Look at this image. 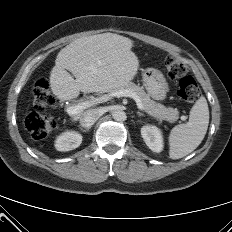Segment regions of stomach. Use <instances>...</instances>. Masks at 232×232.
Masks as SVG:
<instances>
[{"label":"stomach","instance_id":"stomach-1","mask_svg":"<svg viewBox=\"0 0 232 232\" xmlns=\"http://www.w3.org/2000/svg\"><path fill=\"white\" fill-rule=\"evenodd\" d=\"M144 86L152 98L164 100L168 90V84L159 71L147 72L144 74Z\"/></svg>","mask_w":232,"mask_h":232}]
</instances>
